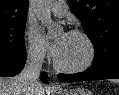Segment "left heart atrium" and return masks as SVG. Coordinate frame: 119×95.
<instances>
[{
  "label": "left heart atrium",
  "mask_w": 119,
  "mask_h": 95,
  "mask_svg": "<svg viewBox=\"0 0 119 95\" xmlns=\"http://www.w3.org/2000/svg\"><path fill=\"white\" fill-rule=\"evenodd\" d=\"M66 36H67V33L63 34L62 37H60L57 41L51 44L50 50L55 57H57L59 53L61 52Z\"/></svg>",
  "instance_id": "1"
}]
</instances>
